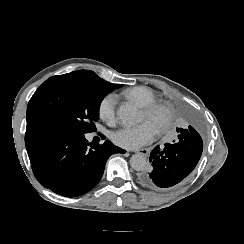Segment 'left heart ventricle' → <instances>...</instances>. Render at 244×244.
Segmentation results:
<instances>
[{
  "mask_svg": "<svg viewBox=\"0 0 244 244\" xmlns=\"http://www.w3.org/2000/svg\"><path fill=\"white\" fill-rule=\"evenodd\" d=\"M141 121L152 124L157 130L162 128L168 121V116L162 110L155 112L141 111Z\"/></svg>",
  "mask_w": 244,
  "mask_h": 244,
  "instance_id": "b2bd125f",
  "label": "left heart ventricle"
}]
</instances>
